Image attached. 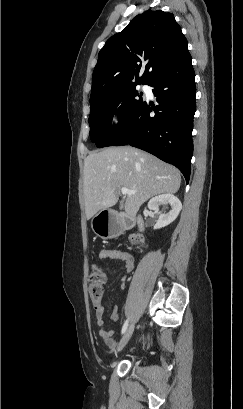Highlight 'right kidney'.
Listing matches in <instances>:
<instances>
[{"label":"right kidney","instance_id":"1","mask_svg":"<svg viewBox=\"0 0 243 409\" xmlns=\"http://www.w3.org/2000/svg\"><path fill=\"white\" fill-rule=\"evenodd\" d=\"M163 204H170L171 210L167 214L160 213L159 219L154 225V229H160L171 224L177 218L182 208L180 200L173 194H162L153 197L148 202V208L150 210L159 211V206Z\"/></svg>","mask_w":243,"mask_h":409}]
</instances>
